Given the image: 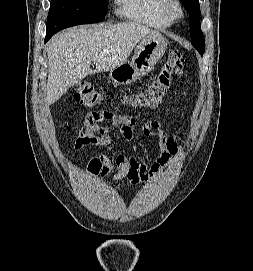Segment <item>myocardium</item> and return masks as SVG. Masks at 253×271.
<instances>
[{
	"label": "myocardium",
	"mask_w": 253,
	"mask_h": 271,
	"mask_svg": "<svg viewBox=\"0 0 253 271\" xmlns=\"http://www.w3.org/2000/svg\"><path fill=\"white\" fill-rule=\"evenodd\" d=\"M164 11L170 21H179L184 16V8L179 0H165Z\"/></svg>",
	"instance_id": "obj_1"
}]
</instances>
